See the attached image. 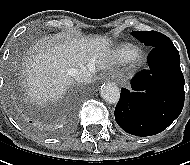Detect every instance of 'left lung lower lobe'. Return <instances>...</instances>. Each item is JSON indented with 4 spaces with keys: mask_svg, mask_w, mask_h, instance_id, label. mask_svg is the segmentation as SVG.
Segmentation results:
<instances>
[{
    "mask_svg": "<svg viewBox=\"0 0 190 165\" xmlns=\"http://www.w3.org/2000/svg\"><path fill=\"white\" fill-rule=\"evenodd\" d=\"M150 69L131 80L134 92L122 88L115 108L117 124L127 133L151 136L165 130L184 105V77L180 56L171 40L152 48Z\"/></svg>",
    "mask_w": 190,
    "mask_h": 165,
    "instance_id": "0a47b994",
    "label": "left lung lower lobe"
}]
</instances>
